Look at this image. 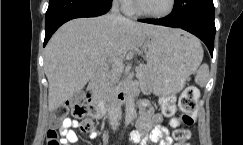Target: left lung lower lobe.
Wrapping results in <instances>:
<instances>
[{"mask_svg":"<svg viewBox=\"0 0 243 145\" xmlns=\"http://www.w3.org/2000/svg\"><path fill=\"white\" fill-rule=\"evenodd\" d=\"M139 21L168 27L182 28L200 38L208 47L210 54L213 55L214 37L216 32L214 23L206 24L193 22L174 11L161 19H140Z\"/></svg>","mask_w":243,"mask_h":145,"instance_id":"0a47b994","label":"left lung lower lobe"}]
</instances>
